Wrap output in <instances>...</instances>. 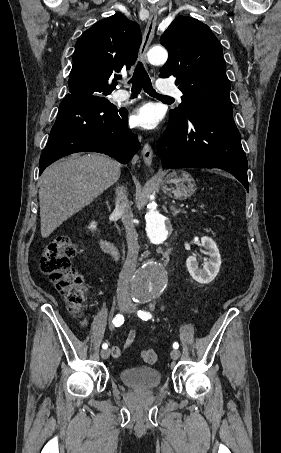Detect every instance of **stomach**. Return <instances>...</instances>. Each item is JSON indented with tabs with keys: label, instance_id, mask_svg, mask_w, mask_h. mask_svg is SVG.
<instances>
[{
	"label": "stomach",
	"instance_id": "obj_1",
	"mask_svg": "<svg viewBox=\"0 0 281 453\" xmlns=\"http://www.w3.org/2000/svg\"><path fill=\"white\" fill-rule=\"evenodd\" d=\"M162 190L172 196V198H189L196 190V182L188 172L185 170H173L169 172L164 170L163 178L161 180Z\"/></svg>",
	"mask_w": 281,
	"mask_h": 453
}]
</instances>
